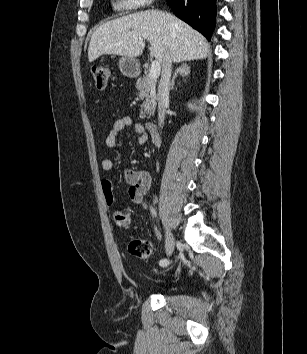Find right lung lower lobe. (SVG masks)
Masks as SVG:
<instances>
[{
	"instance_id": "1",
	"label": "right lung lower lobe",
	"mask_w": 307,
	"mask_h": 354,
	"mask_svg": "<svg viewBox=\"0 0 307 354\" xmlns=\"http://www.w3.org/2000/svg\"><path fill=\"white\" fill-rule=\"evenodd\" d=\"M177 17L202 33L208 40L216 18V0H166Z\"/></svg>"
}]
</instances>
